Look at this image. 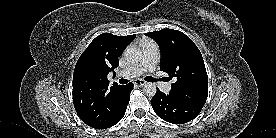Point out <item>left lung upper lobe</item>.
<instances>
[{
    "label": "left lung upper lobe",
    "instance_id": "left-lung-upper-lobe-1",
    "mask_svg": "<svg viewBox=\"0 0 276 138\" xmlns=\"http://www.w3.org/2000/svg\"><path fill=\"white\" fill-rule=\"evenodd\" d=\"M159 45L160 69L176 78L170 95L204 106L208 93V77L203 57L194 42L184 33L162 29L146 33Z\"/></svg>",
    "mask_w": 276,
    "mask_h": 138
}]
</instances>
